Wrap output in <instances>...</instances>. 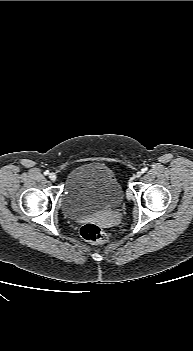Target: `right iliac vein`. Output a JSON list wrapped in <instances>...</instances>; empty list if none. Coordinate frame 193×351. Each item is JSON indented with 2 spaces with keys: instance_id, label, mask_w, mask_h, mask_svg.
<instances>
[{
  "instance_id": "obj_1",
  "label": "right iliac vein",
  "mask_w": 193,
  "mask_h": 351,
  "mask_svg": "<svg viewBox=\"0 0 193 351\" xmlns=\"http://www.w3.org/2000/svg\"><path fill=\"white\" fill-rule=\"evenodd\" d=\"M49 179H50L51 181H56L57 175H56L54 172H52V173L49 174Z\"/></svg>"
}]
</instances>
